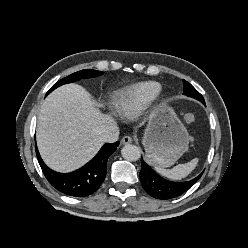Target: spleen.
Listing matches in <instances>:
<instances>
[{"label": "spleen", "instance_id": "3e777b00", "mask_svg": "<svg viewBox=\"0 0 248 248\" xmlns=\"http://www.w3.org/2000/svg\"><path fill=\"white\" fill-rule=\"evenodd\" d=\"M198 159L195 158L188 163L179 164L172 169H164L161 167H156V171L162 176L171 180H181L188 176L197 166Z\"/></svg>", "mask_w": 248, "mask_h": 248}]
</instances>
